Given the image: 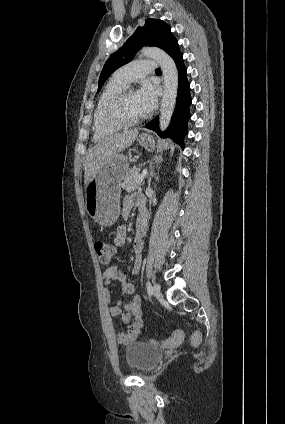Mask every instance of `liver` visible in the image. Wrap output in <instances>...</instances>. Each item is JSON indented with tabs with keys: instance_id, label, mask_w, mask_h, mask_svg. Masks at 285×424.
Masks as SVG:
<instances>
[{
	"instance_id": "1",
	"label": "liver",
	"mask_w": 285,
	"mask_h": 424,
	"mask_svg": "<svg viewBox=\"0 0 285 424\" xmlns=\"http://www.w3.org/2000/svg\"><path fill=\"white\" fill-rule=\"evenodd\" d=\"M138 135V129L116 133L91 147L84 159L85 185L96 176L101 167L130 147Z\"/></svg>"
}]
</instances>
